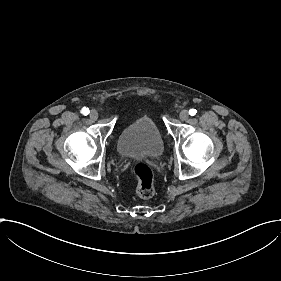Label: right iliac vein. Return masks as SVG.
Returning a JSON list of instances; mask_svg holds the SVG:
<instances>
[{
    "label": "right iliac vein",
    "mask_w": 281,
    "mask_h": 281,
    "mask_svg": "<svg viewBox=\"0 0 281 281\" xmlns=\"http://www.w3.org/2000/svg\"><path fill=\"white\" fill-rule=\"evenodd\" d=\"M89 116H90V118L95 119V118H97L98 113H97V111L92 110V111H90Z\"/></svg>",
    "instance_id": "1"
}]
</instances>
